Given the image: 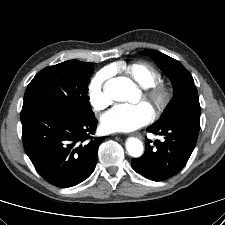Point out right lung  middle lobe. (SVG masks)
I'll use <instances>...</instances> for the list:
<instances>
[{"mask_svg": "<svg viewBox=\"0 0 225 225\" xmlns=\"http://www.w3.org/2000/svg\"><path fill=\"white\" fill-rule=\"evenodd\" d=\"M93 63L69 60L42 69L29 83L23 107L45 106L69 112L77 118L94 113L87 97V85Z\"/></svg>", "mask_w": 225, "mask_h": 225, "instance_id": "1", "label": "right lung middle lobe"}]
</instances>
